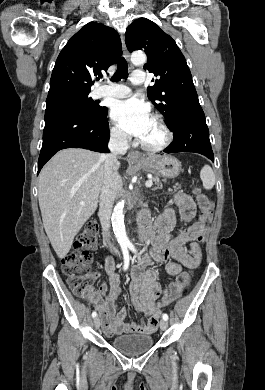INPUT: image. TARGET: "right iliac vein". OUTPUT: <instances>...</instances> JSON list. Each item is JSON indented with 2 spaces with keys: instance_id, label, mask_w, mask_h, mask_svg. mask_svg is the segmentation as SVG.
Segmentation results:
<instances>
[{
  "instance_id": "obj_1",
  "label": "right iliac vein",
  "mask_w": 265,
  "mask_h": 390,
  "mask_svg": "<svg viewBox=\"0 0 265 390\" xmlns=\"http://www.w3.org/2000/svg\"><path fill=\"white\" fill-rule=\"evenodd\" d=\"M94 327L97 329L100 326V319L99 317H95L93 321Z\"/></svg>"
}]
</instances>
